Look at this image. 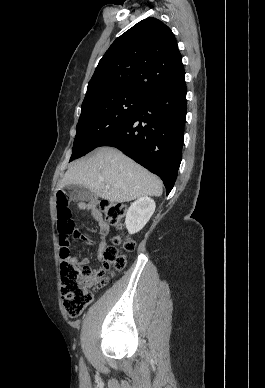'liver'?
<instances>
[{"instance_id": "1", "label": "liver", "mask_w": 265, "mask_h": 388, "mask_svg": "<svg viewBox=\"0 0 265 388\" xmlns=\"http://www.w3.org/2000/svg\"><path fill=\"white\" fill-rule=\"evenodd\" d=\"M104 178V182H100ZM80 184L109 202H130L142 196H161L162 182L116 148H99L89 160H78L67 170L60 188ZM108 186V188H106Z\"/></svg>"}]
</instances>
